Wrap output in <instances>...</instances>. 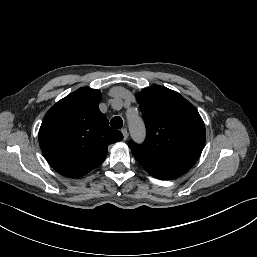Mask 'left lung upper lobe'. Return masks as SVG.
Returning a JSON list of instances; mask_svg holds the SVG:
<instances>
[{
  "instance_id": "5c2ea615",
  "label": "left lung upper lobe",
  "mask_w": 257,
  "mask_h": 257,
  "mask_svg": "<svg viewBox=\"0 0 257 257\" xmlns=\"http://www.w3.org/2000/svg\"><path fill=\"white\" fill-rule=\"evenodd\" d=\"M147 129L141 145L129 142L143 168L188 171L198 160L206 139L196 108L179 93L153 86L136 95Z\"/></svg>"
}]
</instances>
